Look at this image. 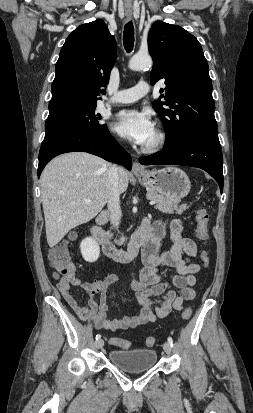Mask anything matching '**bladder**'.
Listing matches in <instances>:
<instances>
[{
	"label": "bladder",
	"mask_w": 253,
	"mask_h": 413,
	"mask_svg": "<svg viewBox=\"0 0 253 413\" xmlns=\"http://www.w3.org/2000/svg\"><path fill=\"white\" fill-rule=\"evenodd\" d=\"M110 362L117 368L139 373L151 369L157 362V353L150 348L115 349L109 353Z\"/></svg>",
	"instance_id": "bladder-1"
}]
</instances>
